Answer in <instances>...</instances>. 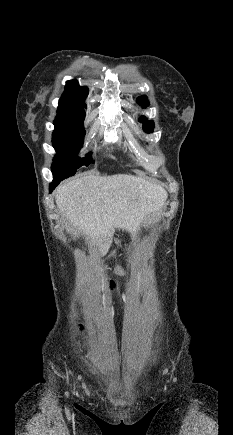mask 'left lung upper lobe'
<instances>
[{
  "mask_svg": "<svg viewBox=\"0 0 233 435\" xmlns=\"http://www.w3.org/2000/svg\"><path fill=\"white\" fill-rule=\"evenodd\" d=\"M137 103L140 104L142 107H147L149 105V102H148L146 96H140V97H138L137 98ZM139 122L143 123V130L145 132L150 133V132L153 131V129H154V123H153V121H147L144 116H141L139 118Z\"/></svg>",
  "mask_w": 233,
  "mask_h": 435,
  "instance_id": "5c2ea615",
  "label": "left lung upper lobe"
}]
</instances>
